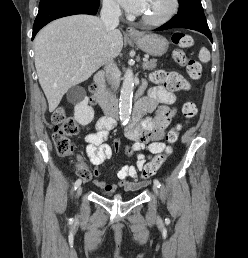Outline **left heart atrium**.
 Instances as JSON below:
<instances>
[{
  "label": "left heart atrium",
  "instance_id": "left-heart-atrium-1",
  "mask_svg": "<svg viewBox=\"0 0 248 258\" xmlns=\"http://www.w3.org/2000/svg\"><path fill=\"white\" fill-rule=\"evenodd\" d=\"M146 0H120L124 8L132 14H139L143 11Z\"/></svg>",
  "mask_w": 248,
  "mask_h": 258
}]
</instances>
